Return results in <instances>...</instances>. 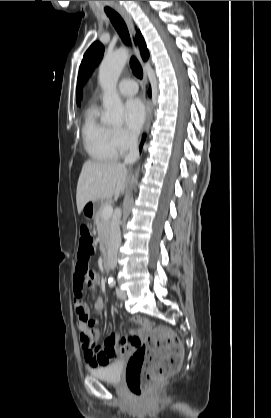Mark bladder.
I'll return each mask as SVG.
<instances>
[{"label":"bladder","mask_w":271,"mask_h":418,"mask_svg":"<svg viewBox=\"0 0 271 418\" xmlns=\"http://www.w3.org/2000/svg\"><path fill=\"white\" fill-rule=\"evenodd\" d=\"M122 369L121 361H112L104 366L91 368L89 372L97 379L116 384L121 380Z\"/></svg>","instance_id":"bladder-1"}]
</instances>
